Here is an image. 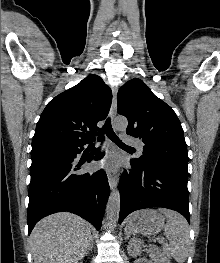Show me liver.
I'll list each match as a JSON object with an SVG mask.
<instances>
[{
  "label": "liver",
  "mask_w": 220,
  "mask_h": 263,
  "mask_svg": "<svg viewBox=\"0 0 220 263\" xmlns=\"http://www.w3.org/2000/svg\"><path fill=\"white\" fill-rule=\"evenodd\" d=\"M91 230L86 220L72 213L43 218L30 236L34 263H77L91 243Z\"/></svg>",
  "instance_id": "1"
}]
</instances>
